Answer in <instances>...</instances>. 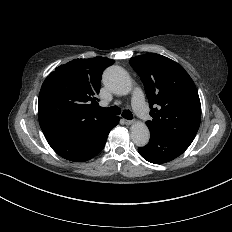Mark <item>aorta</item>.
Wrapping results in <instances>:
<instances>
[{
  "mask_svg": "<svg viewBox=\"0 0 232 232\" xmlns=\"http://www.w3.org/2000/svg\"><path fill=\"white\" fill-rule=\"evenodd\" d=\"M103 84L112 93L127 95L132 89V81L125 69L111 66L104 71ZM130 137L137 146H145L150 139V132L144 122L136 121L130 127Z\"/></svg>",
  "mask_w": 232,
  "mask_h": 232,
  "instance_id": "762f6f07",
  "label": "aorta"
}]
</instances>
